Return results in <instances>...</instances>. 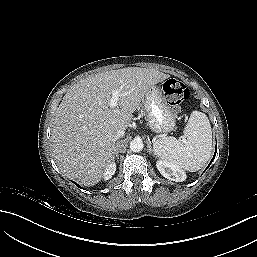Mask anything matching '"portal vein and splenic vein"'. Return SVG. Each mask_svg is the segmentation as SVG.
<instances>
[{
    "instance_id": "portal-vein-and-splenic-vein-1",
    "label": "portal vein and splenic vein",
    "mask_w": 257,
    "mask_h": 257,
    "mask_svg": "<svg viewBox=\"0 0 257 257\" xmlns=\"http://www.w3.org/2000/svg\"><path fill=\"white\" fill-rule=\"evenodd\" d=\"M122 94L119 91H112V96H111V100H110V107L111 108H115L117 106L118 103V99Z\"/></svg>"
}]
</instances>
